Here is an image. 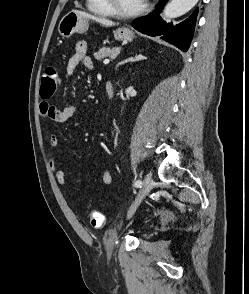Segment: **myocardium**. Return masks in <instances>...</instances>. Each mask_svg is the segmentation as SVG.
<instances>
[{
	"mask_svg": "<svg viewBox=\"0 0 249 294\" xmlns=\"http://www.w3.org/2000/svg\"><path fill=\"white\" fill-rule=\"evenodd\" d=\"M105 3L109 7L113 15L124 17V18L140 15L146 10V7H147L146 4L143 3V5L136 10L126 11L119 7L117 0H105Z\"/></svg>",
	"mask_w": 249,
	"mask_h": 294,
	"instance_id": "myocardium-1",
	"label": "myocardium"
}]
</instances>
